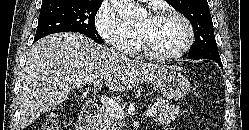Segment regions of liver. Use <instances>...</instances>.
Listing matches in <instances>:
<instances>
[{
    "instance_id": "1",
    "label": "liver",
    "mask_w": 249,
    "mask_h": 130,
    "mask_svg": "<svg viewBox=\"0 0 249 130\" xmlns=\"http://www.w3.org/2000/svg\"><path fill=\"white\" fill-rule=\"evenodd\" d=\"M169 67L131 60L80 33L47 36L30 49L19 91L21 127L68 99L72 89L102 78L113 91H127Z\"/></svg>"
}]
</instances>
